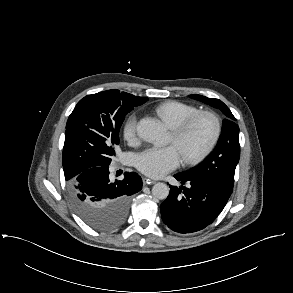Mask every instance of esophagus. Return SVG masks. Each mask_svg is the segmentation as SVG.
<instances>
[{"instance_id": "esophagus-1", "label": "esophagus", "mask_w": 293, "mask_h": 293, "mask_svg": "<svg viewBox=\"0 0 293 293\" xmlns=\"http://www.w3.org/2000/svg\"><path fill=\"white\" fill-rule=\"evenodd\" d=\"M153 183H156V181L154 179H151V178L144 179V185L153 184Z\"/></svg>"}]
</instances>
